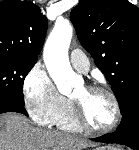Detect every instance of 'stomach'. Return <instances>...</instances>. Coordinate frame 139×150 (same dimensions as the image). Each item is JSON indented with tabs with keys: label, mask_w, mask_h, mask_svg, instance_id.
<instances>
[{
	"label": "stomach",
	"mask_w": 139,
	"mask_h": 150,
	"mask_svg": "<svg viewBox=\"0 0 139 150\" xmlns=\"http://www.w3.org/2000/svg\"><path fill=\"white\" fill-rule=\"evenodd\" d=\"M94 150H119L118 148L107 146V147H98Z\"/></svg>",
	"instance_id": "1"
}]
</instances>
